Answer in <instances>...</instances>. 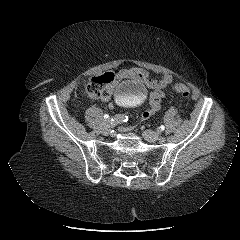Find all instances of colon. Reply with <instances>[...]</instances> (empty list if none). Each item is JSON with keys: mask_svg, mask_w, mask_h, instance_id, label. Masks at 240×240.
<instances>
[{"mask_svg": "<svg viewBox=\"0 0 240 240\" xmlns=\"http://www.w3.org/2000/svg\"><path fill=\"white\" fill-rule=\"evenodd\" d=\"M112 80L113 76L111 73H105L103 75L93 77L87 82L85 91L90 97L99 98L103 95L104 89ZM172 89L176 93L181 94L184 98H188L190 95V89L183 83L174 84Z\"/></svg>", "mask_w": 240, "mask_h": 240, "instance_id": "1", "label": "colon"}]
</instances>
